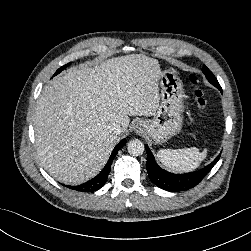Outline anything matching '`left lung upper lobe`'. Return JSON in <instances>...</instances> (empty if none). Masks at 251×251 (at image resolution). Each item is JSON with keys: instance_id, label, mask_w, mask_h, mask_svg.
I'll use <instances>...</instances> for the list:
<instances>
[{"instance_id": "obj_1", "label": "left lung upper lobe", "mask_w": 251, "mask_h": 251, "mask_svg": "<svg viewBox=\"0 0 251 251\" xmlns=\"http://www.w3.org/2000/svg\"><path fill=\"white\" fill-rule=\"evenodd\" d=\"M203 73L211 84H219L213 73L206 66H203Z\"/></svg>"}]
</instances>
